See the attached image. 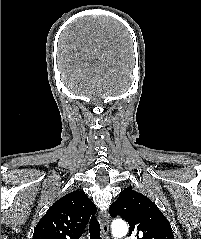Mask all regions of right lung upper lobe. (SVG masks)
Instances as JSON below:
<instances>
[{
	"instance_id": "obj_1",
	"label": "right lung upper lobe",
	"mask_w": 201,
	"mask_h": 239,
	"mask_svg": "<svg viewBox=\"0 0 201 239\" xmlns=\"http://www.w3.org/2000/svg\"><path fill=\"white\" fill-rule=\"evenodd\" d=\"M96 206L83 191H73L57 200L40 219L32 239H78Z\"/></svg>"
}]
</instances>
